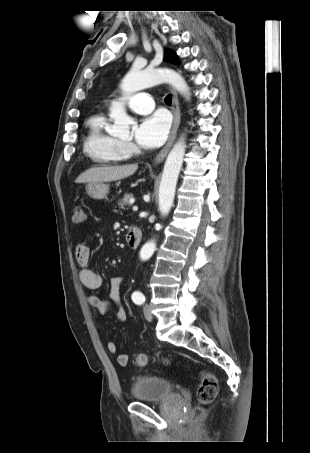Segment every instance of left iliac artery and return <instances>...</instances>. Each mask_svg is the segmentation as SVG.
Here are the masks:
<instances>
[{
  "instance_id": "obj_1",
  "label": "left iliac artery",
  "mask_w": 310,
  "mask_h": 453,
  "mask_svg": "<svg viewBox=\"0 0 310 453\" xmlns=\"http://www.w3.org/2000/svg\"><path fill=\"white\" fill-rule=\"evenodd\" d=\"M132 300L134 303L141 305L145 302V296L141 292L135 291L132 294Z\"/></svg>"
}]
</instances>
